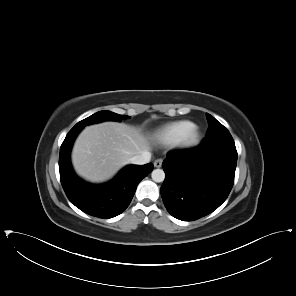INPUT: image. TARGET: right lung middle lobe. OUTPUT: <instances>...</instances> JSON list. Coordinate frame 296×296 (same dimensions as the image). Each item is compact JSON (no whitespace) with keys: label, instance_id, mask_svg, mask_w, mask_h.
Wrapping results in <instances>:
<instances>
[{"label":"right lung middle lobe","instance_id":"1","mask_svg":"<svg viewBox=\"0 0 296 296\" xmlns=\"http://www.w3.org/2000/svg\"><path fill=\"white\" fill-rule=\"evenodd\" d=\"M120 118L127 119V118H129V116L119 115V114L104 110V111L97 112V113L89 116L88 118L80 121L74 127L82 129L86 125L99 123V122H103V121H118Z\"/></svg>","mask_w":296,"mask_h":296}]
</instances>
